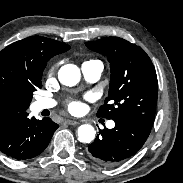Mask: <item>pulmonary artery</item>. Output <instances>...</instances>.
Here are the masks:
<instances>
[{
    "label": "pulmonary artery",
    "mask_w": 183,
    "mask_h": 183,
    "mask_svg": "<svg viewBox=\"0 0 183 183\" xmlns=\"http://www.w3.org/2000/svg\"><path fill=\"white\" fill-rule=\"evenodd\" d=\"M84 78L90 82L94 83L100 79L103 72V64L99 60L87 61L82 64L81 67ZM55 101L52 99L41 98L34 102V109L36 112L42 111L44 109H50L55 106ZM114 126L113 122L108 123V127L112 128Z\"/></svg>",
    "instance_id": "obj_1"
}]
</instances>
